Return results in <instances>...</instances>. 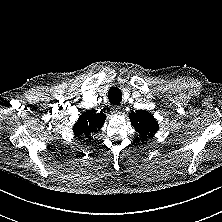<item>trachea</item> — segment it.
<instances>
[{"label": "trachea", "instance_id": "trachea-1", "mask_svg": "<svg viewBox=\"0 0 222 222\" xmlns=\"http://www.w3.org/2000/svg\"><path fill=\"white\" fill-rule=\"evenodd\" d=\"M108 99L111 104H119L122 101V92L117 87H111L108 91Z\"/></svg>", "mask_w": 222, "mask_h": 222}]
</instances>
